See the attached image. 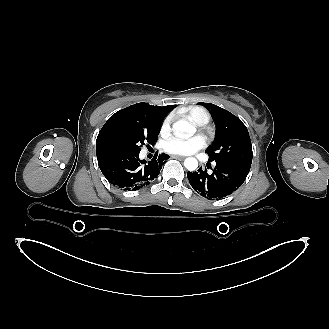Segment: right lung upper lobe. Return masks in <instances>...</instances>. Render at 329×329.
<instances>
[{"label": "right lung upper lobe", "mask_w": 329, "mask_h": 329, "mask_svg": "<svg viewBox=\"0 0 329 329\" xmlns=\"http://www.w3.org/2000/svg\"><path fill=\"white\" fill-rule=\"evenodd\" d=\"M175 105L152 106L148 103H137L112 115L100 130L96 140V154L113 151L108 144L109 137L120 130H147L154 124L162 122Z\"/></svg>", "instance_id": "cb5924a9"}]
</instances>
